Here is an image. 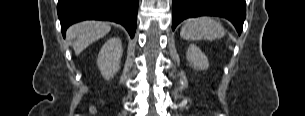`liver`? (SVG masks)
<instances>
[{"instance_id":"obj_1","label":"liver","mask_w":305,"mask_h":116,"mask_svg":"<svg viewBox=\"0 0 305 116\" xmlns=\"http://www.w3.org/2000/svg\"><path fill=\"white\" fill-rule=\"evenodd\" d=\"M111 27L109 23L102 21H85L71 26L67 36L73 41V48L76 55H79L86 47L96 40L104 37Z\"/></svg>"}]
</instances>
